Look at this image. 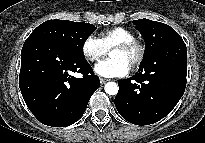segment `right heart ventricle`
Instances as JSON below:
<instances>
[{
  "instance_id": "obj_1",
  "label": "right heart ventricle",
  "mask_w": 205,
  "mask_h": 143,
  "mask_svg": "<svg viewBox=\"0 0 205 143\" xmlns=\"http://www.w3.org/2000/svg\"><path fill=\"white\" fill-rule=\"evenodd\" d=\"M135 38L134 33L124 27H115L108 29L100 34L99 40L106 48V50L112 49L116 44L124 41H129Z\"/></svg>"
}]
</instances>
